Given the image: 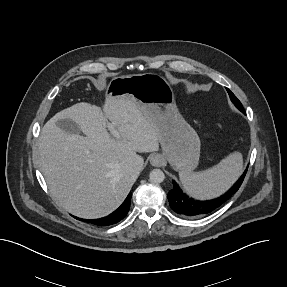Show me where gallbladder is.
Segmentation results:
<instances>
[{
    "instance_id": "obj_1",
    "label": "gallbladder",
    "mask_w": 287,
    "mask_h": 287,
    "mask_svg": "<svg viewBox=\"0 0 287 287\" xmlns=\"http://www.w3.org/2000/svg\"><path fill=\"white\" fill-rule=\"evenodd\" d=\"M56 124L60 129L69 134H80L81 132L78 124L71 119H61Z\"/></svg>"
}]
</instances>
